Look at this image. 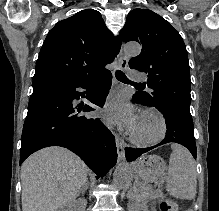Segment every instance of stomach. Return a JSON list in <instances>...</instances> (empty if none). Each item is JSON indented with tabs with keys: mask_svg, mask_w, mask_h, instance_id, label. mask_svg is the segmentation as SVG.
<instances>
[{
	"mask_svg": "<svg viewBox=\"0 0 219 211\" xmlns=\"http://www.w3.org/2000/svg\"><path fill=\"white\" fill-rule=\"evenodd\" d=\"M133 172L147 182L160 179L165 171V161L158 155H145L132 165Z\"/></svg>",
	"mask_w": 219,
	"mask_h": 211,
	"instance_id": "0dacf381",
	"label": "stomach"
}]
</instances>
